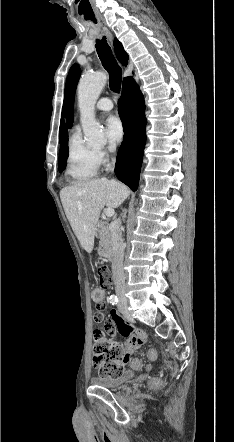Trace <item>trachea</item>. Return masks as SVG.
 <instances>
[{
	"label": "trachea",
	"mask_w": 234,
	"mask_h": 442,
	"mask_svg": "<svg viewBox=\"0 0 234 442\" xmlns=\"http://www.w3.org/2000/svg\"><path fill=\"white\" fill-rule=\"evenodd\" d=\"M96 49L103 67L109 74V87L113 92L119 93L121 89L122 70L116 62L112 50L104 36L96 41Z\"/></svg>",
	"instance_id": "1"
}]
</instances>
